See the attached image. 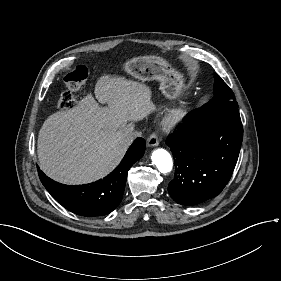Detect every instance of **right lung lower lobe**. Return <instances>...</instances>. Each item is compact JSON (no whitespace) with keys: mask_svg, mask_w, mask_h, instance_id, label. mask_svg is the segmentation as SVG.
<instances>
[{"mask_svg":"<svg viewBox=\"0 0 281 281\" xmlns=\"http://www.w3.org/2000/svg\"><path fill=\"white\" fill-rule=\"evenodd\" d=\"M145 151V140L137 139L128 149L116 169L95 183L70 186L58 183L38 169L42 184L60 204L71 212L85 216H104L112 212L121 202L131 166Z\"/></svg>","mask_w":281,"mask_h":281,"instance_id":"1","label":"right lung lower lobe"}]
</instances>
